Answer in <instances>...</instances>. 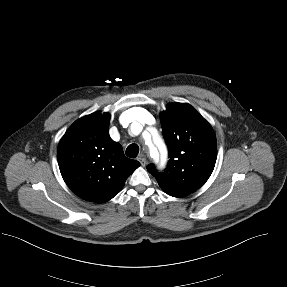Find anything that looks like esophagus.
I'll return each instance as SVG.
<instances>
[{"label":"esophagus","mask_w":287,"mask_h":287,"mask_svg":"<svg viewBox=\"0 0 287 287\" xmlns=\"http://www.w3.org/2000/svg\"><path fill=\"white\" fill-rule=\"evenodd\" d=\"M138 160L143 167L147 164L146 158L143 154L138 157Z\"/></svg>","instance_id":"34e87169"}]
</instances>
